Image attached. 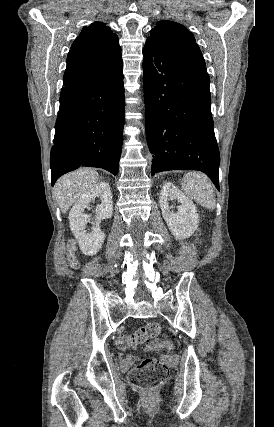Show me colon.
Listing matches in <instances>:
<instances>
[{
	"instance_id": "obj_1",
	"label": "colon",
	"mask_w": 274,
	"mask_h": 427,
	"mask_svg": "<svg viewBox=\"0 0 274 427\" xmlns=\"http://www.w3.org/2000/svg\"><path fill=\"white\" fill-rule=\"evenodd\" d=\"M68 264L75 268L79 260L75 255V244L69 241L67 244ZM151 344L157 348L170 349L173 346L172 339L163 332L161 327L154 322H148L137 330L121 334L117 337V345L121 350L134 348L138 345ZM169 376V368L154 358H144L135 365L129 373L130 381L141 395H157Z\"/></svg>"
}]
</instances>
